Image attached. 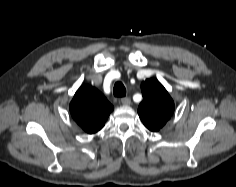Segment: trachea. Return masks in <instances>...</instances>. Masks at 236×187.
<instances>
[{
  "instance_id": "obj_1",
  "label": "trachea",
  "mask_w": 236,
  "mask_h": 187,
  "mask_svg": "<svg viewBox=\"0 0 236 187\" xmlns=\"http://www.w3.org/2000/svg\"><path fill=\"white\" fill-rule=\"evenodd\" d=\"M113 94L115 97H124L126 95V88L122 82L118 81L115 83Z\"/></svg>"
}]
</instances>
